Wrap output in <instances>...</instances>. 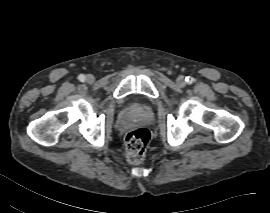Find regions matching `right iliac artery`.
I'll return each instance as SVG.
<instances>
[{
	"mask_svg": "<svg viewBox=\"0 0 270 213\" xmlns=\"http://www.w3.org/2000/svg\"><path fill=\"white\" fill-rule=\"evenodd\" d=\"M78 79H79L80 81H84V80H85V76H84L83 74H80V75L78 76Z\"/></svg>",
	"mask_w": 270,
	"mask_h": 213,
	"instance_id": "obj_1",
	"label": "right iliac artery"
}]
</instances>
